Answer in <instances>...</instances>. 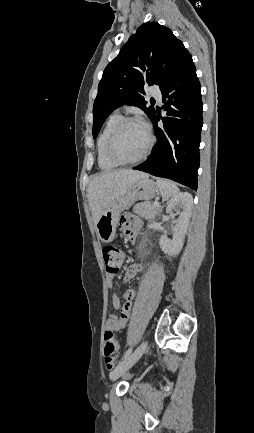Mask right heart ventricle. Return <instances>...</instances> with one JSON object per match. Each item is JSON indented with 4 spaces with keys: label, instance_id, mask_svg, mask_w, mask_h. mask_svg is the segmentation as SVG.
Returning a JSON list of instances; mask_svg holds the SVG:
<instances>
[{
    "label": "right heart ventricle",
    "instance_id": "obj_1",
    "mask_svg": "<svg viewBox=\"0 0 254 433\" xmlns=\"http://www.w3.org/2000/svg\"><path fill=\"white\" fill-rule=\"evenodd\" d=\"M122 119L119 113H113L107 119L99 137L97 140V161L98 165L102 170L109 171L115 169L118 165L113 163L108 159L106 155V143L107 139L117 125V123Z\"/></svg>",
    "mask_w": 254,
    "mask_h": 433
}]
</instances>
